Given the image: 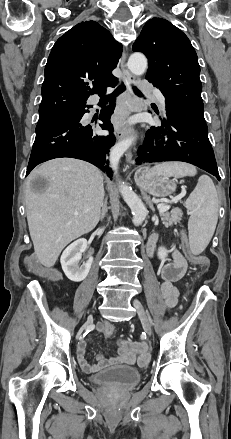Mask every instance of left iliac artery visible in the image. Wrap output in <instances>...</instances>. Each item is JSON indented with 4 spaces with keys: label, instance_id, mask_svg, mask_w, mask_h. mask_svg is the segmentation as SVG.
Instances as JSON below:
<instances>
[{
    "label": "left iliac artery",
    "instance_id": "left-iliac-artery-1",
    "mask_svg": "<svg viewBox=\"0 0 231 439\" xmlns=\"http://www.w3.org/2000/svg\"><path fill=\"white\" fill-rule=\"evenodd\" d=\"M147 314H148V316H149V313L147 312ZM149 320H150V322L152 323V319H151V317L149 316Z\"/></svg>",
    "mask_w": 231,
    "mask_h": 439
}]
</instances>
